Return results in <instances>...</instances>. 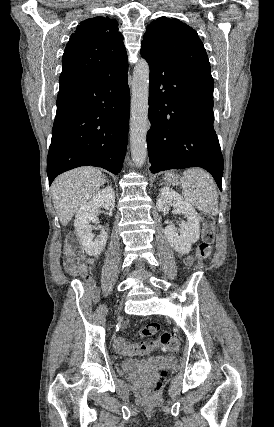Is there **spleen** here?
Segmentation results:
<instances>
[{"mask_svg": "<svg viewBox=\"0 0 274 427\" xmlns=\"http://www.w3.org/2000/svg\"><path fill=\"white\" fill-rule=\"evenodd\" d=\"M184 200L195 206L202 214H218V194L216 184L201 168L185 170L180 180Z\"/></svg>", "mask_w": 274, "mask_h": 427, "instance_id": "1", "label": "spleen"}]
</instances>
